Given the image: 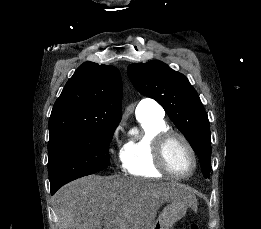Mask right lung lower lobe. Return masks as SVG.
I'll use <instances>...</instances> for the list:
<instances>
[{
	"mask_svg": "<svg viewBox=\"0 0 261 229\" xmlns=\"http://www.w3.org/2000/svg\"><path fill=\"white\" fill-rule=\"evenodd\" d=\"M55 192L51 191V194L53 195Z\"/></svg>",
	"mask_w": 261,
	"mask_h": 229,
	"instance_id": "98d812e1",
	"label": "right lung lower lobe"
}]
</instances>
